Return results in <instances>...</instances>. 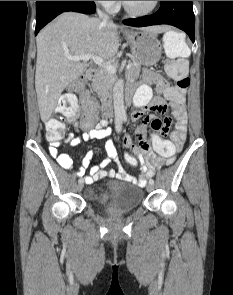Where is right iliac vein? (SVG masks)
<instances>
[{"label":"right iliac vein","instance_id":"right-iliac-vein-1","mask_svg":"<svg viewBox=\"0 0 233 295\" xmlns=\"http://www.w3.org/2000/svg\"><path fill=\"white\" fill-rule=\"evenodd\" d=\"M83 186H84V180L80 178L78 180V186H77L78 191H81L83 189Z\"/></svg>","mask_w":233,"mask_h":295}]
</instances>
